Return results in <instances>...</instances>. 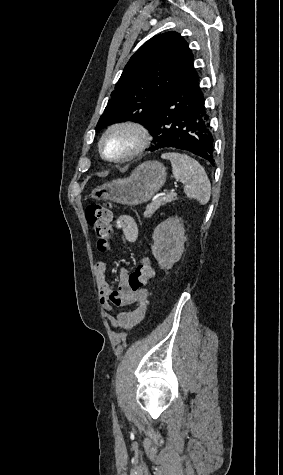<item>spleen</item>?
<instances>
[{"label": "spleen", "mask_w": 283, "mask_h": 475, "mask_svg": "<svg viewBox=\"0 0 283 475\" xmlns=\"http://www.w3.org/2000/svg\"><path fill=\"white\" fill-rule=\"evenodd\" d=\"M161 158L170 160L173 176L175 180L182 182L187 198L198 200L201 206H205L210 200L211 184L204 168L186 154L168 152L162 154Z\"/></svg>", "instance_id": "spleen-1"}]
</instances>
